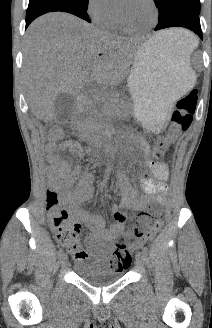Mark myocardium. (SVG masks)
<instances>
[{"instance_id": "obj_1", "label": "myocardium", "mask_w": 212, "mask_h": 328, "mask_svg": "<svg viewBox=\"0 0 212 328\" xmlns=\"http://www.w3.org/2000/svg\"><path fill=\"white\" fill-rule=\"evenodd\" d=\"M148 2L150 3V5L152 6L153 8V11H154V19H153V22L148 25V26H145V27H134V26H131L129 25L125 18L123 17L122 13H121V9H120V6H118L117 8V19L120 23V25L128 32H136V33H142V32H146L150 29H152L158 22V19H159V9H158V6H157V3L155 0H148Z\"/></svg>"}]
</instances>
